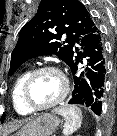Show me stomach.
<instances>
[{"label":"stomach","mask_w":117,"mask_h":136,"mask_svg":"<svg viewBox=\"0 0 117 136\" xmlns=\"http://www.w3.org/2000/svg\"><path fill=\"white\" fill-rule=\"evenodd\" d=\"M57 116L45 113L28 122L13 136H50L58 127Z\"/></svg>","instance_id":"0dacf381"}]
</instances>
